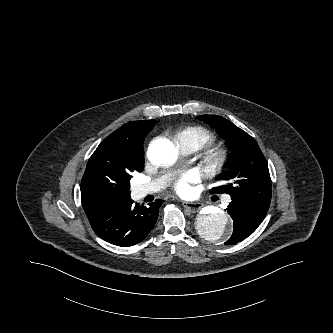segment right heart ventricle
<instances>
[{
  "label": "right heart ventricle",
  "mask_w": 333,
  "mask_h": 333,
  "mask_svg": "<svg viewBox=\"0 0 333 333\" xmlns=\"http://www.w3.org/2000/svg\"><path fill=\"white\" fill-rule=\"evenodd\" d=\"M177 140H191L198 146H208L215 142V136L200 127H188L177 133Z\"/></svg>",
  "instance_id": "1"
}]
</instances>
